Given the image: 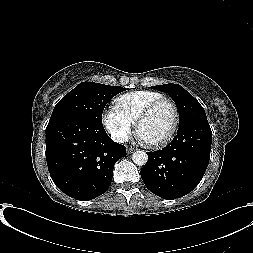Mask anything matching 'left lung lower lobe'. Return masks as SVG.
<instances>
[{"label": "left lung lower lobe", "mask_w": 253, "mask_h": 253, "mask_svg": "<svg viewBox=\"0 0 253 253\" xmlns=\"http://www.w3.org/2000/svg\"><path fill=\"white\" fill-rule=\"evenodd\" d=\"M212 132L207 120L179 126L177 136L162 150L148 152L141 169L146 187L164 199L190 193L201 181L210 160Z\"/></svg>", "instance_id": "1"}]
</instances>
